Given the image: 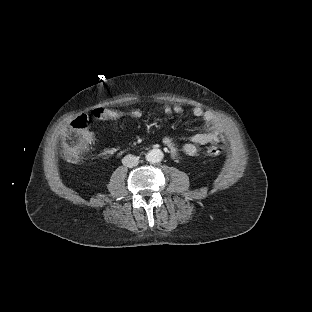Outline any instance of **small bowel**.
<instances>
[{"instance_id":"1","label":"small bowel","mask_w":312,"mask_h":312,"mask_svg":"<svg viewBox=\"0 0 312 312\" xmlns=\"http://www.w3.org/2000/svg\"><path fill=\"white\" fill-rule=\"evenodd\" d=\"M163 111L169 115L172 113L182 114L184 109L180 104H164ZM191 113L194 117L202 119L205 132L196 133L186 138V143L183 146V153L188 156H193L197 152L199 146L206 144H214L220 141L222 135V125L220 120L211 112L205 111L200 106H194L191 109ZM126 115L136 121L143 119V113L139 109H133L126 112ZM162 143L172 157H176L179 154V150L176 147L174 138L170 135H166L162 138Z\"/></svg>"}]
</instances>
